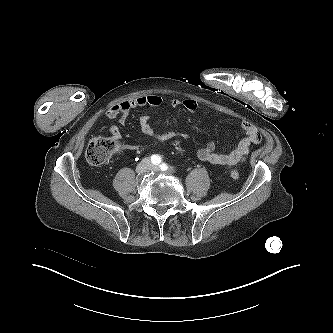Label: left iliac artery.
<instances>
[{
	"mask_svg": "<svg viewBox=\"0 0 333 333\" xmlns=\"http://www.w3.org/2000/svg\"><path fill=\"white\" fill-rule=\"evenodd\" d=\"M160 168H161L162 171H167V170H169V167H168V165H167L166 163H162V164L160 165Z\"/></svg>",
	"mask_w": 333,
	"mask_h": 333,
	"instance_id": "1",
	"label": "left iliac artery"
}]
</instances>
